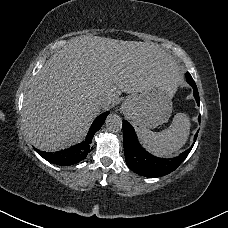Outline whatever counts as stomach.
<instances>
[{
  "instance_id": "obj_1",
  "label": "stomach",
  "mask_w": 228,
  "mask_h": 228,
  "mask_svg": "<svg viewBox=\"0 0 228 228\" xmlns=\"http://www.w3.org/2000/svg\"><path fill=\"white\" fill-rule=\"evenodd\" d=\"M172 97L171 91L163 85H153L129 95L121 111L136 124L152 129L170 118Z\"/></svg>"
}]
</instances>
